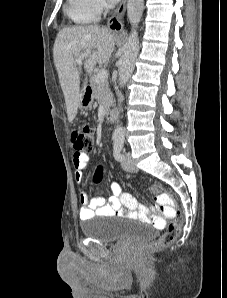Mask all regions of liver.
I'll use <instances>...</instances> for the list:
<instances>
[{"instance_id":"liver-1","label":"liver","mask_w":227,"mask_h":298,"mask_svg":"<svg viewBox=\"0 0 227 298\" xmlns=\"http://www.w3.org/2000/svg\"><path fill=\"white\" fill-rule=\"evenodd\" d=\"M114 47L113 33L98 26L69 27L57 34L53 57L69 122H72L77 115L81 93L87 87L88 75H91L97 63L100 65L108 63ZM87 51L90 55L84 61L86 75L83 88L80 90V67L76 59Z\"/></svg>"}]
</instances>
